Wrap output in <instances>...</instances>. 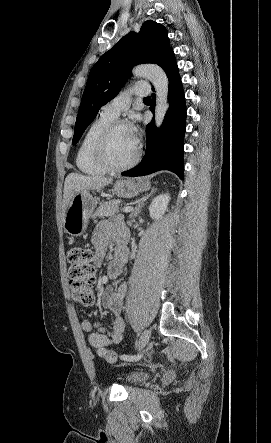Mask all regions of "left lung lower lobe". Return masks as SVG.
Returning <instances> with one entry per match:
<instances>
[{
	"label": "left lung lower lobe",
	"mask_w": 271,
	"mask_h": 443,
	"mask_svg": "<svg viewBox=\"0 0 271 443\" xmlns=\"http://www.w3.org/2000/svg\"><path fill=\"white\" fill-rule=\"evenodd\" d=\"M169 80V109L162 126L156 130L154 121L146 126L147 144L142 161L123 176H144L159 170H169L183 180L184 134L186 128V105L178 67L171 49L158 63ZM150 110H155V94H152Z\"/></svg>",
	"instance_id": "obj_1"
}]
</instances>
